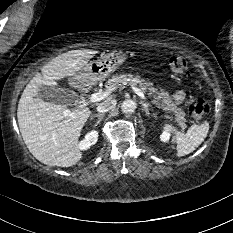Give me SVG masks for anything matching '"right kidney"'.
I'll use <instances>...</instances> for the list:
<instances>
[{
  "instance_id": "obj_1",
  "label": "right kidney",
  "mask_w": 233,
  "mask_h": 233,
  "mask_svg": "<svg viewBox=\"0 0 233 233\" xmlns=\"http://www.w3.org/2000/svg\"><path fill=\"white\" fill-rule=\"evenodd\" d=\"M98 139V132L95 130L90 131L85 135V138L79 142L78 148L80 150H87L90 146L94 145Z\"/></svg>"
}]
</instances>
